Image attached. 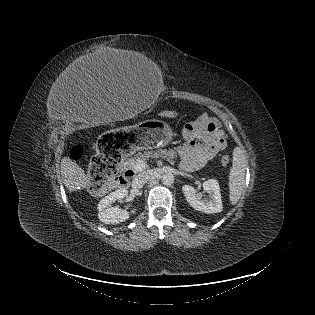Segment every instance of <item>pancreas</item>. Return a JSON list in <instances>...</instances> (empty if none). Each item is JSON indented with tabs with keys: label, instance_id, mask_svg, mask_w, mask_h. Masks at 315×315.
<instances>
[{
	"label": "pancreas",
	"instance_id": "pancreas-1",
	"mask_svg": "<svg viewBox=\"0 0 315 315\" xmlns=\"http://www.w3.org/2000/svg\"><path fill=\"white\" fill-rule=\"evenodd\" d=\"M149 157H151V158H163V159H166L171 164H174V162L172 161V159L174 157V152L172 150H167V149L161 150L160 149V150H156V151H145L144 153H141V152L137 153L136 155H134L132 158L128 159L125 162V167L129 170L136 171L135 168H136L137 163L139 161L146 163V161L149 159Z\"/></svg>",
	"mask_w": 315,
	"mask_h": 315
}]
</instances>
